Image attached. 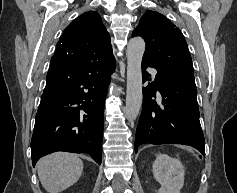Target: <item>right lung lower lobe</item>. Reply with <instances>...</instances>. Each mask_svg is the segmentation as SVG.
Returning a JSON list of instances; mask_svg holds the SVG:
<instances>
[{
  "mask_svg": "<svg viewBox=\"0 0 237 193\" xmlns=\"http://www.w3.org/2000/svg\"><path fill=\"white\" fill-rule=\"evenodd\" d=\"M114 57L87 65L51 59L31 140L33 166L55 151L88 153L101 164L103 114Z\"/></svg>",
  "mask_w": 237,
  "mask_h": 193,
  "instance_id": "obj_1",
  "label": "right lung lower lobe"
}]
</instances>
